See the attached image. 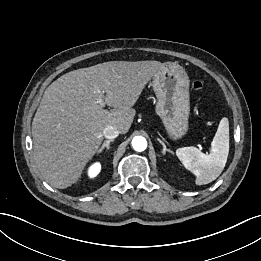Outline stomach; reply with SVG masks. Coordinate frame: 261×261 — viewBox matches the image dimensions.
Returning a JSON list of instances; mask_svg holds the SVG:
<instances>
[{
    "mask_svg": "<svg viewBox=\"0 0 261 261\" xmlns=\"http://www.w3.org/2000/svg\"><path fill=\"white\" fill-rule=\"evenodd\" d=\"M189 77L177 63H164L153 76L157 97L156 113L172 139L182 138L188 131L190 114Z\"/></svg>",
    "mask_w": 261,
    "mask_h": 261,
    "instance_id": "stomach-1",
    "label": "stomach"
}]
</instances>
